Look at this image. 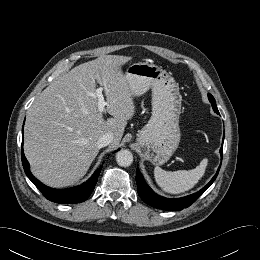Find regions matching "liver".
Returning a JSON list of instances; mask_svg holds the SVG:
<instances>
[{"label": "liver", "mask_w": 260, "mask_h": 260, "mask_svg": "<svg viewBox=\"0 0 260 260\" xmlns=\"http://www.w3.org/2000/svg\"><path fill=\"white\" fill-rule=\"evenodd\" d=\"M131 57L105 55L80 64L52 82L27 112L24 152L33 175L44 184L62 188L78 182L88 171L100 147L98 138L110 133L112 147L123 136L135 104L121 66ZM96 82L106 96L103 119L98 110Z\"/></svg>", "instance_id": "1"}]
</instances>
